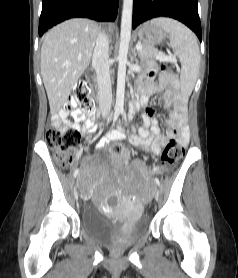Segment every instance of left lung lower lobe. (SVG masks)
<instances>
[{
  "label": "left lung lower lobe",
  "mask_w": 238,
  "mask_h": 278,
  "mask_svg": "<svg viewBox=\"0 0 238 278\" xmlns=\"http://www.w3.org/2000/svg\"><path fill=\"white\" fill-rule=\"evenodd\" d=\"M198 0H134L132 27L149 19L165 16L187 25L202 40Z\"/></svg>",
  "instance_id": "obj_1"
}]
</instances>
